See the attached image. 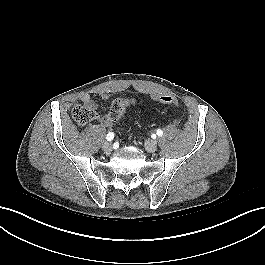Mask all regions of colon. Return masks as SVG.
Returning a JSON list of instances; mask_svg holds the SVG:
<instances>
[{
    "label": "colon",
    "mask_w": 265,
    "mask_h": 265,
    "mask_svg": "<svg viewBox=\"0 0 265 265\" xmlns=\"http://www.w3.org/2000/svg\"><path fill=\"white\" fill-rule=\"evenodd\" d=\"M160 100L162 103H165V104H168L174 107H177L179 104L175 97L169 96V95L162 96ZM133 103H134V100L130 98L116 99L110 107L109 118L113 121L120 120L123 117L126 109L129 108ZM72 116H73V119L79 125H86L94 119L95 111H94V108L90 105L78 104L73 108Z\"/></svg>",
    "instance_id": "colon-1"
}]
</instances>
